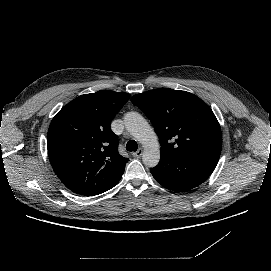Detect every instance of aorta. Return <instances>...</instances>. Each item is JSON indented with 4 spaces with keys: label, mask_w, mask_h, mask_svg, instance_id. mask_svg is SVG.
<instances>
[{
    "label": "aorta",
    "mask_w": 271,
    "mask_h": 271,
    "mask_svg": "<svg viewBox=\"0 0 271 271\" xmlns=\"http://www.w3.org/2000/svg\"><path fill=\"white\" fill-rule=\"evenodd\" d=\"M124 124L127 131L144 147L143 164L147 167L157 166L160 161V146L154 129L138 112H127Z\"/></svg>",
    "instance_id": "1"
}]
</instances>
